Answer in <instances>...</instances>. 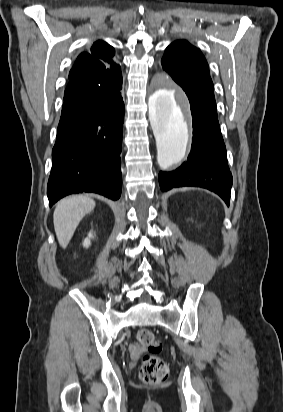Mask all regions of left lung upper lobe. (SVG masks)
I'll list each match as a JSON object with an SVG mask.
<instances>
[{
	"label": "left lung upper lobe",
	"mask_w": 283,
	"mask_h": 412,
	"mask_svg": "<svg viewBox=\"0 0 283 412\" xmlns=\"http://www.w3.org/2000/svg\"><path fill=\"white\" fill-rule=\"evenodd\" d=\"M161 64L174 81L189 83L197 91L214 97L213 83L203 54L185 40L169 45L162 57Z\"/></svg>",
	"instance_id": "5c2ea615"
}]
</instances>
